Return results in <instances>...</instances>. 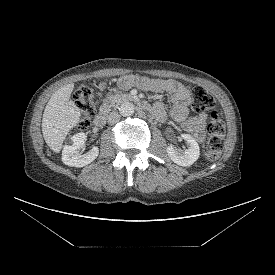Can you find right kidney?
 I'll return each mask as SVG.
<instances>
[{
	"label": "right kidney",
	"mask_w": 275,
	"mask_h": 275,
	"mask_svg": "<svg viewBox=\"0 0 275 275\" xmlns=\"http://www.w3.org/2000/svg\"><path fill=\"white\" fill-rule=\"evenodd\" d=\"M72 145H65L62 151V161L64 164L72 167H84L93 162L98 154V147L94 146L85 154L79 152L84 147L86 140L85 133L81 132L71 137Z\"/></svg>",
	"instance_id": "obj_1"
}]
</instances>
